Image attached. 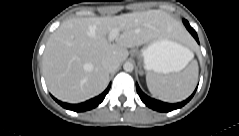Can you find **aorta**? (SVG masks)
<instances>
[{
  "mask_svg": "<svg viewBox=\"0 0 239 136\" xmlns=\"http://www.w3.org/2000/svg\"><path fill=\"white\" fill-rule=\"evenodd\" d=\"M123 69L126 72H132L133 69H134V65L131 62H125L124 65H123Z\"/></svg>",
  "mask_w": 239,
  "mask_h": 136,
  "instance_id": "aorta-1",
  "label": "aorta"
}]
</instances>
